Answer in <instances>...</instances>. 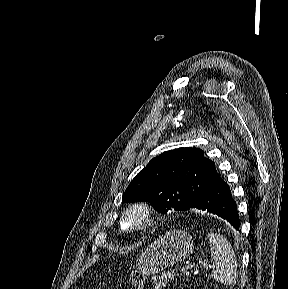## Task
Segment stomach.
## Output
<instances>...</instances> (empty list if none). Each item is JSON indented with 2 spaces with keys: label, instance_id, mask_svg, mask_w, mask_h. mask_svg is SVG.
Instances as JSON below:
<instances>
[{
  "label": "stomach",
  "instance_id": "1",
  "mask_svg": "<svg viewBox=\"0 0 288 289\" xmlns=\"http://www.w3.org/2000/svg\"><path fill=\"white\" fill-rule=\"evenodd\" d=\"M192 236L184 230H172L147 247L136 261L137 270L145 275L157 274L186 259L193 251Z\"/></svg>",
  "mask_w": 288,
  "mask_h": 289
}]
</instances>
